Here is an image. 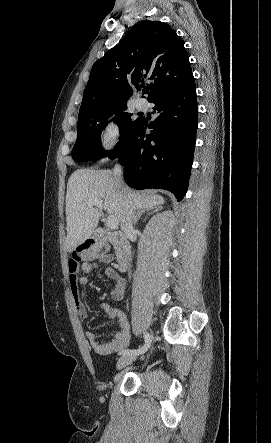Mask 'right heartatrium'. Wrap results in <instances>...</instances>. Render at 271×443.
<instances>
[{
  "label": "right heart atrium",
  "instance_id": "obj_1",
  "mask_svg": "<svg viewBox=\"0 0 271 443\" xmlns=\"http://www.w3.org/2000/svg\"><path fill=\"white\" fill-rule=\"evenodd\" d=\"M122 125L114 119H108L102 126L98 138L97 146L102 155L109 154L119 144L122 138Z\"/></svg>",
  "mask_w": 271,
  "mask_h": 443
}]
</instances>
